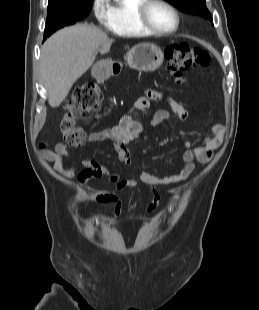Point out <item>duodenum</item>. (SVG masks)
Returning a JSON list of instances; mask_svg holds the SVG:
<instances>
[{"label": "duodenum", "mask_w": 259, "mask_h": 310, "mask_svg": "<svg viewBox=\"0 0 259 310\" xmlns=\"http://www.w3.org/2000/svg\"><path fill=\"white\" fill-rule=\"evenodd\" d=\"M111 71L113 74H118L120 71V67H118L116 64H113L111 67Z\"/></svg>", "instance_id": "1"}]
</instances>
